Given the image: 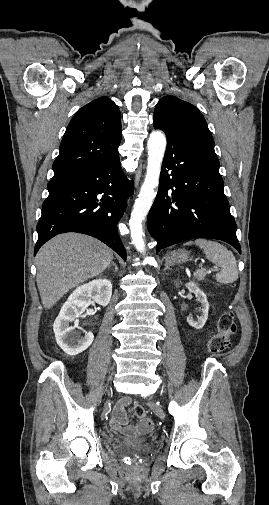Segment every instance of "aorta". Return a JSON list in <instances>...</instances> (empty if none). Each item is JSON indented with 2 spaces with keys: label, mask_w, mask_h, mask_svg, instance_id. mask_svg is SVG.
<instances>
[{
  "label": "aorta",
  "mask_w": 269,
  "mask_h": 505,
  "mask_svg": "<svg viewBox=\"0 0 269 505\" xmlns=\"http://www.w3.org/2000/svg\"><path fill=\"white\" fill-rule=\"evenodd\" d=\"M166 137L161 131H153L148 139V160L144 182L133 205L129 225L131 239L135 248L145 252L142 222L145 220L156 196L161 165L166 150Z\"/></svg>",
  "instance_id": "obj_1"
}]
</instances>
